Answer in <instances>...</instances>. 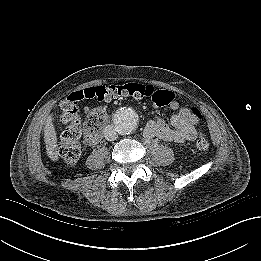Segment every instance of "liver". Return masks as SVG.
<instances>
[{"label":"liver","mask_w":261,"mask_h":261,"mask_svg":"<svg viewBox=\"0 0 261 261\" xmlns=\"http://www.w3.org/2000/svg\"><path fill=\"white\" fill-rule=\"evenodd\" d=\"M44 141L46 144L47 156L52 161H57L59 159L57 136H56V131H55L51 116H48L45 121Z\"/></svg>","instance_id":"liver-1"}]
</instances>
